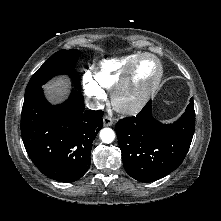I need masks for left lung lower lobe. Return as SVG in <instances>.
Instances as JSON below:
<instances>
[{
	"mask_svg": "<svg viewBox=\"0 0 221 221\" xmlns=\"http://www.w3.org/2000/svg\"><path fill=\"white\" fill-rule=\"evenodd\" d=\"M194 129L193 99L173 124H162L153 118L149 101L136 116L116 123L126 172L140 182H152L174 171L189 150Z\"/></svg>",
	"mask_w": 221,
	"mask_h": 221,
	"instance_id": "left-lung-lower-lobe-1",
	"label": "left lung lower lobe"
}]
</instances>
